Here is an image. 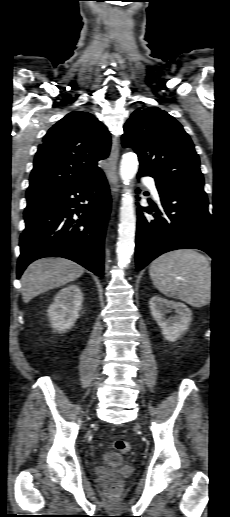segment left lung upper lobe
I'll list each match as a JSON object with an SVG mask.
<instances>
[{
	"label": "left lung upper lobe",
	"mask_w": 230,
	"mask_h": 517,
	"mask_svg": "<svg viewBox=\"0 0 230 517\" xmlns=\"http://www.w3.org/2000/svg\"><path fill=\"white\" fill-rule=\"evenodd\" d=\"M122 145L133 148L138 155L139 172L176 188L203 189L194 145L181 124L167 112L157 107L134 111L124 126Z\"/></svg>",
	"instance_id": "obj_1"
}]
</instances>
